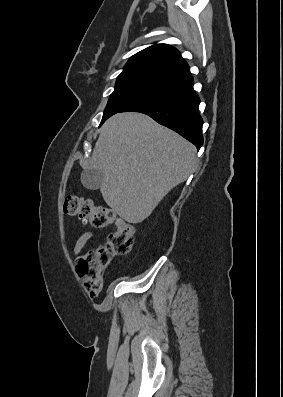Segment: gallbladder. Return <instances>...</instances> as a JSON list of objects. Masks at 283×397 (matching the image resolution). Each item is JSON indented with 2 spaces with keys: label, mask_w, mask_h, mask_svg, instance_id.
Masks as SVG:
<instances>
[{
  "label": "gallbladder",
  "mask_w": 283,
  "mask_h": 397,
  "mask_svg": "<svg viewBox=\"0 0 283 397\" xmlns=\"http://www.w3.org/2000/svg\"><path fill=\"white\" fill-rule=\"evenodd\" d=\"M104 174L100 170L96 169H85L81 173V183L89 190H96L100 187L103 181Z\"/></svg>",
  "instance_id": "obj_1"
}]
</instances>
